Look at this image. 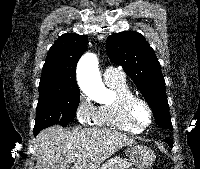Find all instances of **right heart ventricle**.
<instances>
[{"instance_id": "right-heart-ventricle-1", "label": "right heart ventricle", "mask_w": 200, "mask_h": 169, "mask_svg": "<svg viewBox=\"0 0 200 169\" xmlns=\"http://www.w3.org/2000/svg\"><path fill=\"white\" fill-rule=\"evenodd\" d=\"M106 84L114 92L115 98L112 102L103 104L96 109L94 124L134 134L142 132L134 128L126 117L125 102L134 96L126 79L113 80L106 82Z\"/></svg>"}]
</instances>
